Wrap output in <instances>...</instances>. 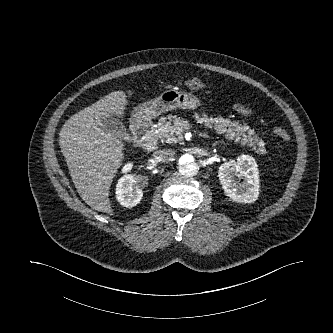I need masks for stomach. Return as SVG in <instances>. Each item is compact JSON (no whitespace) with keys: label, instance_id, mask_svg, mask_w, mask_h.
Wrapping results in <instances>:
<instances>
[{"label":"stomach","instance_id":"1","mask_svg":"<svg viewBox=\"0 0 333 333\" xmlns=\"http://www.w3.org/2000/svg\"><path fill=\"white\" fill-rule=\"evenodd\" d=\"M199 104L200 100L192 94L166 90L160 96L136 107L131 119L133 122L144 123L166 111L176 108L195 109Z\"/></svg>","mask_w":333,"mask_h":333}]
</instances>
